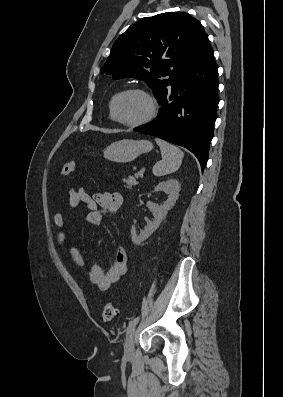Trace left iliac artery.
Masks as SVG:
<instances>
[{"instance_id":"1","label":"left iliac artery","mask_w":283,"mask_h":397,"mask_svg":"<svg viewBox=\"0 0 283 397\" xmlns=\"http://www.w3.org/2000/svg\"><path fill=\"white\" fill-rule=\"evenodd\" d=\"M138 320H139L138 317H136V318H134L133 320H131V321L129 322V324H128L127 331H128L131 327L135 326V325L137 324Z\"/></svg>"}]
</instances>
